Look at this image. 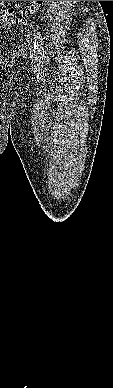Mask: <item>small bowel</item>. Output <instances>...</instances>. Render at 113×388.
Returning a JSON list of instances; mask_svg holds the SVG:
<instances>
[{"mask_svg": "<svg viewBox=\"0 0 113 388\" xmlns=\"http://www.w3.org/2000/svg\"><path fill=\"white\" fill-rule=\"evenodd\" d=\"M5 4V1H0V6L2 7Z\"/></svg>", "mask_w": 113, "mask_h": 388, "instance_id": "small-bowel-1", "label": "small bowel"}]
</instances>
